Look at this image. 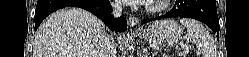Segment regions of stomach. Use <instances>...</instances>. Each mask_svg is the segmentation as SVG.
Returning a JSON list of instances; mask_svg holds the SVG:
<instances>
[{
	"instance_id": "stomach-1",
	"label": "stomach",
	"mask_w": 249,
	"mask_h": 57,
	"mask_svg": "<svg viewBox=\"0 0 249 57\" xmlns=\"http://www.w3.org/2000/svg\"><path fill=\"white\" fill-rule=\"evenodd\" d=\"M140 34L150 44L170 47L181 40L183 28L174 19H165L151 23Z\"/></svg>"
}]
</instances>
